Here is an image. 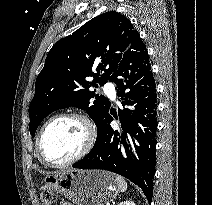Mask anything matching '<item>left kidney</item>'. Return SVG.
<instances>
[{
    "label": "left kidney",
    "mask_w": 212,
    "mask_h": 205,
    "mask_svg": "<svg viewBox=\"0 0 212 205\" xmlns=\"http://www.w3.org/2000/svg\"><path fill=\"white\" fill-rule=\"evenodd\" d=\"M119 205H135V203L131 200H126L124 202H121Z\"/></svg>",
    "instance_id": "left-kidney-1"
}]
</instances>
